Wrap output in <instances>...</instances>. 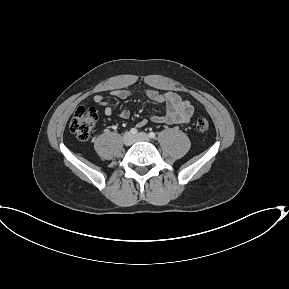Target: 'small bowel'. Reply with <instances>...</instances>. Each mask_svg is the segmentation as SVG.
<instances>
[{
	"label": "small bowel",
	"instance_id": "c3829d8e",
	"mask_svg": "<svg viewBox=\"0 0 289 289\" xmlns=\"http://www.w3.org/2000/svg\"><path fill=\"white\" fill-rule=\"evenodd\" d=\"M112 96L118 100H125L132 95V92L128 89H116L110 92ZM146 96L151 101L157 103H163L166 106L165 113L162 115H151L150 120L155 123L165 124H179L184 125L190 122L194 108L188 100H183L175 92L159 93L156 90H147ZM94 102L104 109V114L110 116L113 112L110 102H107L102 95H96ZM119 117L122 119H128L130 112L124 109L119 112ZM146 120L139 123V126H143Z\"/></svg>",
	"mask_w": 289,
	"mask_h": 289
}]
</instances>
